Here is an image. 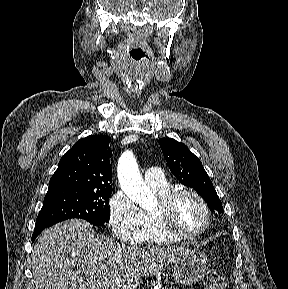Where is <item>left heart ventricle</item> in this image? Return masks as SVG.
Masks as SVG:
<instances>
[{
  "mask_svg": "<svg viewBox=\"0 0 288 289\" xmlns=\"http://www.w3.org/2000/svg\"><path fill=\"white\" fill-rule=\"evenodd\" d=\"M175 227L184 233H191L201 228L204 212L199 202L191 196L178 199L173 208Z\"/></svg>",
  "mask_w": 288,
  "mask_h": 289,
  "instance_id": "obj_1",
  "label": "left heart ventricle"
}]
</instances>
